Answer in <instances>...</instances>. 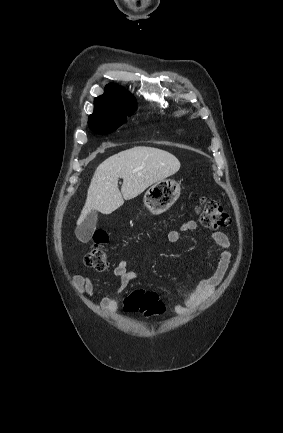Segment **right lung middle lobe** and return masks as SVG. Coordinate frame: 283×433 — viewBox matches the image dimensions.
<instances>
[{"mask_svg": "<svg viewBox=\"0 0 283 433\" xmlns=\"http://www.w3.org/2000/svg\"><path fill=\"white\" fill-rule=\"evenodd\" d=\"M135 110L113 111L100 114H91L88 119L89 127L98 134H108L116 130L125 121L127 116Z\"/></svg>", "mask_w": 283, "mask_h": 433, "instance_id": "right-lung-middle-lobe-1", "label": "right lung middle lobe"}]
</instances>
